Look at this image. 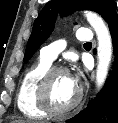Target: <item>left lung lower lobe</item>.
<instances>
[{"mask_svg":"<svg viewBox=\"0 0 118 123\" xmlns=\"http://www.w3.org/2000/svg\"><path fill=\"white\" fill-rule=\"evenodd\" d=\"M114 50L115 63L111 80L106 83L87 108L66 123H118V15L108 21Z\"/></svg>","mask_w":118,"mask_h":123,"instance_id":"left-lung-lower-lobe-1","label":"left lung lower lobe"}]
</instances>
